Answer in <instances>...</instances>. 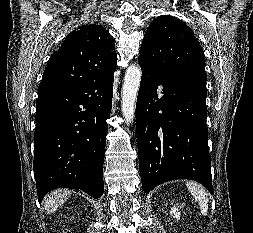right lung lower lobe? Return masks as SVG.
Wrapping results in <instances>:
<instances>
[{
    "label": "right lung lower lobe",
    "instance_id": "98d812e1",
    "mask_svg": "<svg viewBox=\"0 0 253 233\" xmlns=\"http://www.w3.org/2000/svg\"><path fill=\"white\" fill-rule=\"evenodd\" d=\"M113 80L114 71L39 91L33 162L39 202L60 187L102 196Z\"/></svg>",
    "mask_w": 253,
    "mask_h": 233
}]
</instances>
